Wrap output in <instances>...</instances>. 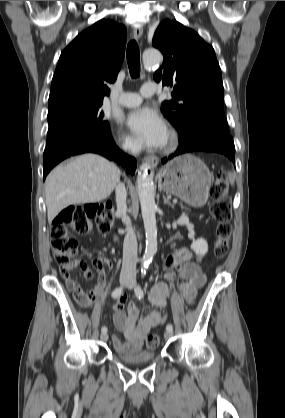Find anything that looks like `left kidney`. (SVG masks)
<instances>
[{
	"label": "left kidney",
	"mask_w": 285,
	"mask_h": 418,
	"mask_svg": "<svg viewBox=\"0 0 285 418\" xmlns=\"http://www.w3.org/2000/svg\"><path fill=\"white\" fill-rule=\"evenodd\" d=\"M191 249L197 255H205L208 252V243L205 239L199 238L196 241H193L191 244Z\"/></svg>",
	"instance_id": "obj_1"
}]
</instances>
